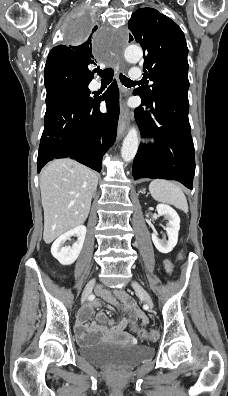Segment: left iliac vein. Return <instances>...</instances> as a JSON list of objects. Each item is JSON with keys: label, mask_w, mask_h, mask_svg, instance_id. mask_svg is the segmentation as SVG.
Returning a JSON list of instances; mask_svg holds the SVG:
<instances>
[{"label": "left iliac vein", "mask_w": 228, "mask_h": 396, "mask_svg": "<svg viewBox=\"0 0 228 396\" xmlns=\"http://www.w3.org/2000/svg\"><path fill=\"white\" fill-rule=\"evenodd\" d=\"M131 285L136 293L145 301V303L152 309L154 307L153 300L150 294L136 281H132Z\"/></svg>", "instance_id": "1"}]
</instances>
